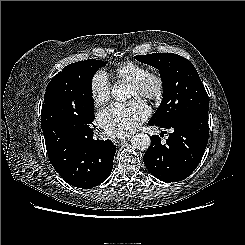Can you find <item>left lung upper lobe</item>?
I'll list each match as a JSON object with an SVG mask.
<instances>
[{
    "label": "left lung upper lobe",
    "instance_id": "5c2ea615",
    "mask_svg": "<svg viewBox=\"0 0 245 245\" xmlns=\"http://www.w3.org/2000/svg\"><path fill=\"white\" fill-rule=\"evenodd\" d=\"M135 59L157 68L163 82V99L150 121L166 125L191 112L209 110L207 92L189 60L174 53L138 55Z\"/></svg>",
    "mask_w": 245,
    "mask_h": 245
}]
</instances>
